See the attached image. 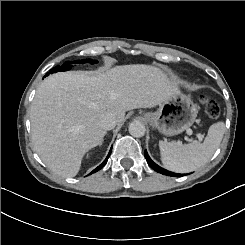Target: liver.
Returning <instances> with one entry per match:
<instances>
[{
	"mask_svg": "<svg viewBox=\"0 0 245 245\" xmlns=\"http://www.w3.org/2000/svg\"><path fill=\"white\" fill-rule=\"evenodd\" d=\"M179 90L176 78L150 64L51 74L31 104L33 144L49 169L73 177L84 153L103 139L98 124L103 113H112L121 123L127 110L155 106Z\"/></svg>",
	"mask_w": 245,
	"mask_h": 245,
	"instance_id": "1",
	"label": "liver"
}]
</instances>
